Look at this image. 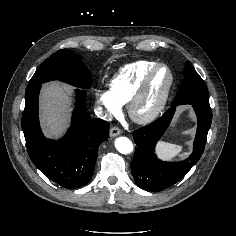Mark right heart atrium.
<instances>
[{
	"label": "right heart atrium",
	"instance_id": "right-heart-atrium-1",
	"mask_svg": "<svg viewBox=\"0 0 236 236\" xmlns=\"http://www.w3.org/2000/svg\"><path fill=\"white\" fill-rule=\"evenodd\" d=\"M97 99L107 116H114L120 112L121 105L116 101L109 90H98Z\"/></svg>",
	"mask_w": 236,
	"mask_h": 236
}]
</instances>
